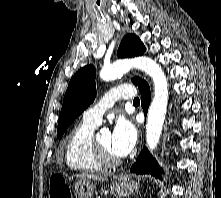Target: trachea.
I'll list each match as a JSON object with an SVG mask.
<instances>
[{
    "instance_id": "3493384b",
    "label": "trachea",
    "mask_w": 221,
    "mask_h": 198,
    "mask_svg": "<svg viewBox=\"0 0 221 198\" xmlns=\"http://www.w3.org/2000/svg\"><path fill=\"white\" fill-rule=\"evenodd\" d=\"M133 103H134V104H138V103H140L139 98H135V99L133 100Z\"/></svg>"
}]
</instances>
